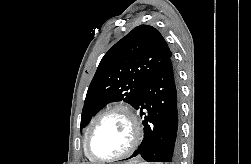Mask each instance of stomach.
Here are the masks:
<instances>
[{
    "label": "stomach",
    "instance_id": "0dacf381",
    "mask_svg": "<svg viewBox=\"0 0 251 164\" xmlns=\"http://www.w3.org/2000/svg\"><path fill=\"white\" fill-rule=\"evenodd\" d=\"M119 164H127V163H119ZM133 164H144V163H139L138 161H135Z\"/></svg>",
    "mask_w": 251,
    "mask_h": 164
}]
</instances>
